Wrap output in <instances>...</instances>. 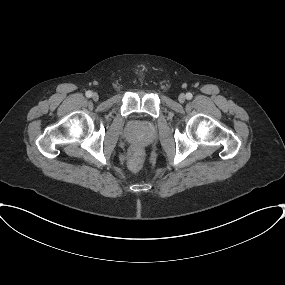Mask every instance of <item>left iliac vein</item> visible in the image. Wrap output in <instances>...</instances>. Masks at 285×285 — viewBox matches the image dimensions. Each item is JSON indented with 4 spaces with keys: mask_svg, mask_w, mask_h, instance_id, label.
I'll return each instance as SVG.
<instances>
[{
    "mask_svg": "<svg viewBox=\"0 0 285 285\" xmlns=\"http://www.w3.org/2000/svg\"><path fill=\"white\" fill-rule=\"evenodd\" d=\"M185 99H186V96L184 94H180L179 97H178V100H179L180 103H184Z\"/></svg>",
    "mask_w": 285,
    "mask_h": 285,
    "instance_id": "4c4485c4",
    "label": "left iliac vein"
}]
</instances>
